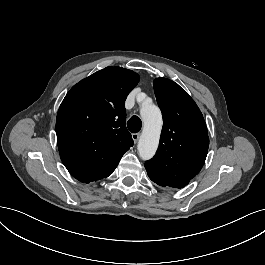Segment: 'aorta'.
<instances>
[{
    "label": "aorta",
    "instance_id": "aorta-1",
    "mask_svg": "<svg viewBox=\"0 0 265 265\" xmlns=\"http://www.w3.org/2000/svg\"><path fill=\"white\" fill-rule=\"evenodd\" d=\"M143 130L137 145L142 160L151 159L158 148L161 130V111L154 104L143 103L140 108Z\"/></svg>",
    "mask_w": 265,
    "mask_h": 265
}]
</instances>
